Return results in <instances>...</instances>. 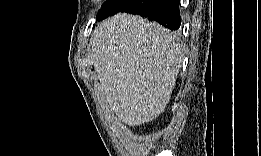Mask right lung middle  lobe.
I'll use <instances>...</instances> for the list:
<instances>
[{"instance_id": "obj_1", "label": "right lung middle lobe", "mask_w": 261, "mask_h": 156, "mask_svg": "<svg viewBox=\"0 0 261 156\" xmlns=\"http://www.w3.org/2000/svg\"><path fill=\"white\" fill-rule=\"evenodd\" d=\"M132 0H106L98 13L97 21L111 16L125 8Z\"/></svg>"}]
</instances>
